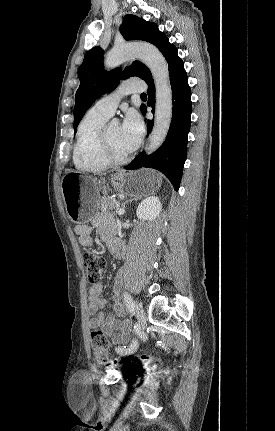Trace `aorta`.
Masks as SVG:
<instances>
[{
	"label": "aorta",
	"mask_w": 275,
	"mask_h": 431,
	"mask_svg": "<svg viewBox=\"0 0 275 431\" xmlns=\"http://www.w3.org/2000/svg\"><path fill=\"white\" fill-rule=\"evenodd\" d=\"M134 58L141 59L149 68L155 83V119L146 147V152L151 154L166 139L172 120L173 105L169 68L162 53L150 44H132L114 47L106 55L104 64L107 68H114Z\"/></svg>",
	"instance_id": "aorta-1"
}]
</instances>
